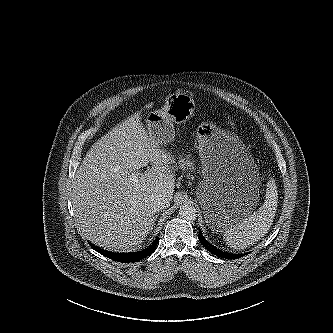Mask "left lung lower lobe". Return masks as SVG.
<instances>
[{
  "label": "left lung lower lobe",
  "instance_id": "obj_1",
  "mask_svg": "<svg viewBox=\"0 0 333 333\" xmlns=\"http://www.w3.org/2000/svg\"><path fill=\"white\" fill-rule=\"evenodd\" d=\"M199 240L200 243L211 253L215 254L216 256L225 258V259H237L240 257H243L244 254H234V253H229V252H224L210 244L202 235L201 230L199 231Z\"/></svg>",
  "mask_w": 333,
  "mask_h": 333
}]
</instances>
